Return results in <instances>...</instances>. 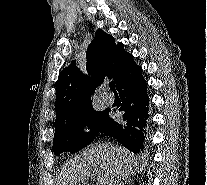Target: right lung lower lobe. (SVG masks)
Listing matches in <instances>:
<instances>
[{
	"label": "right lung lower lobe",
	"instance_id": "1",
	"mask_svg": "<svg viewBox=\"0 0 207 185\" xmlns=\"http://www.w3.org/2000/svg\"><path fill=\"white\" fill-rule=\"evenodd\" d=\"M116 88L122 100L118 108L121 114L116 121L111 118L100 132L116 138L123 146L137 153L143 146L149 117L147 83L142 76V71L119 83Z\"/></svg>",
	"mask_w": 207,
	"mask_h": 185
}]
</instances>
